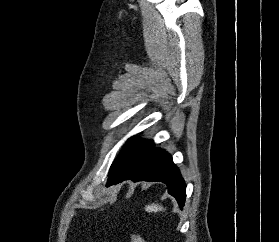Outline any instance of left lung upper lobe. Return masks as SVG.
<instances>
[{
	"label": "left lung upper lobe",
	"mask_w": 279,
	"mask_h": 242,
	"mask_svg": "<svg viewBox=\"0 0 279 242\" xmlns=\"http://www.w3.org/2000/svg\"><path fill=\"white\" fill-rule=\"evenodd\" d=\"M153 147V141L140 139L136 136L129 138L117 159L111 165L107 186L120 179L134 163L140 160Z\"/></svg>",
	"instance_id": "obj_1"
}]
</instances>
